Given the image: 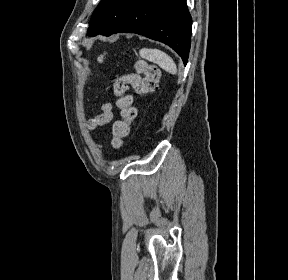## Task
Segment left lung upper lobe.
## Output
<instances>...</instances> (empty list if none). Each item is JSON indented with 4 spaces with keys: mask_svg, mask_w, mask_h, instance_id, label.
Segmentation results:
<instances>
[{
    "mask_svg": "<svg viewBox=\"0 0 288 280\" xmlns=\"http://www.w3.org/2000/svg\"><path fill=\"white\" fill-rule=\"evenodd\" d=\"M140 0H102L95 9L88 29L89 36H110L126 14Z\"/></svg>",
    "mask_w": 288,
    "mask_h": 280,
    "instance_id": "obj_1",
    "label": "left lung upper lobe"
}]
</instances>
